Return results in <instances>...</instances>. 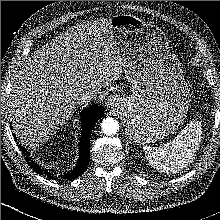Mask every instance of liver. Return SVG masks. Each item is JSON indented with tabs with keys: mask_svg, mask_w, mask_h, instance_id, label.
Wrapping results in <instances>:
<instances>
[{
	"mask_svg": "<svg viewBox=\"0 0 220 220\" xmlns=\"http://www.w3.org/2000/svg\"><path fill=\"white\" fill-rule=\"evenodd\" d=\"M125 60L110 19L73 26L42 46L15 75L10 120L19 139L42 145L73 115L79 96L121 77Z\"/></svg>",
	"mask_w": 220,
	"mask_h": 220,
	"instance_id": "1",
	"label": "liver"
}]
</instances>
